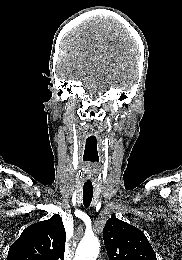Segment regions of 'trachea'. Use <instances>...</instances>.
Masks as SVG:
<instances>
[{"instance_id":"1","label":"trachea","mask_w":182,"mask_h":260,"mask_svg":"<svg viewBox=\"0 0 182 260\" xmlns=\"http://www.w3.org/2000/svg\"><path fill=\"white\" fill-rule=\"evenodd\" d=\"M93 197V187H84L83 188V204L88 208L91 204Z\"/></svg>"}]
</instances>
